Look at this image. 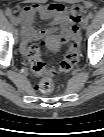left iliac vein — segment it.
Wrapping results in <instances>:
<instances>
[{"label": "left iliac vein", "instance_id": "4c4485c4", "mask_svg": "<svg viewBox=\"0 0 104 137\" xmlns=\"http://www.w3.org/2000/svg\"><path fill=\"white\" fill-rule=\"evenodd\" d=\"M82 29L85 30L88 26V18H84L82 21Z\"/></svg>", "mask_w": 104, "mask_h": 137}]
</instances>
